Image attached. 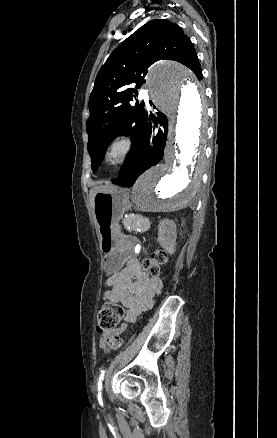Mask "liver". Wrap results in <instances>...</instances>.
Masks as SVG:
<instances>
[{
	"mask_svg": "<svg viewBox=\"0 0 277 438\" xmlns=\"http://www.w3.org/2000/svg\"><path fill=\"white\" fill-rule=\"evenodd\" d=\"M97 192H100L98 188H92V190H90V196H94V194H97Z\"/></svg>",
	"mask_w": 277,
	"mask_h": 438,
	"instance_id": "liver-1",
	"label": "liver"
}]
</instances>
